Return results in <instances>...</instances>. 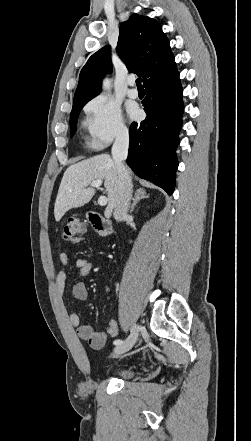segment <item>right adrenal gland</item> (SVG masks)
<instances>
[{
  "label": "right adrenal gland",
  "mask_w": 251,
  "mask_h": 441,
  "mask_svg": "<svg viewBox=\"0 0 251 441\" xmlns=\"http://www.w3.org/2000/svg\"><path fill=\"white\" fill-rule=\"evenodd\" d=\"M146 198H149V195L146 194L145 190L137 189L135 192L134 198H133V203L130 208V213H132L134 211L136 204L138 202H140V200L146 199Z\"/></svg>",
  "instance_id": "2a0ac1e0"
}]
</instances>
